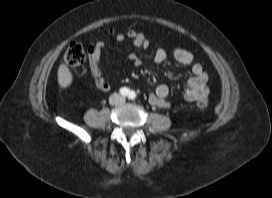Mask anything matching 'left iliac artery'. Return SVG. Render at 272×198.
Instances as JSON below:
<instances>
[{
	"mask_svg": "<svg viewBox=\"0 0 272 198\" xmlns=\"http://www.w3.org/2000/svg\"><path fill=\"white\" fill-rule=\"evenodd\" d=\"M136 97V93L134 92V91H131L130 93H129V98L130 99H134Z\"/></svg>",
	"mask_w": 272,
	"mask_h": 198,
	"instance_id": "44dca946",
	"label": "left iliac artery"
}]
</instances>
